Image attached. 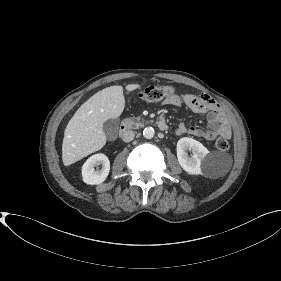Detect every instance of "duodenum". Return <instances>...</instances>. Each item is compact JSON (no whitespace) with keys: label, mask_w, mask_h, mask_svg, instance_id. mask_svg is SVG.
Masks as SVG:
<instances>
[{"label":"duodenum","mask_w":281,"mask_h":281,"mask_svg":"<svg viewBox=\"0 0 281 281\" xmlns=\"http://www.w3.org/2000/svg\"><path fill=\"white\" fill-rule=\"evenodd\" d=\"M157 126L162 131H165V130L168 129V124L164 119H160L157 122ZM128 129H129V124L128 123H122L121 128H120L121 133L126 132Z\"/></svg>","instance_id":"410a0bca"}]
</instances>
